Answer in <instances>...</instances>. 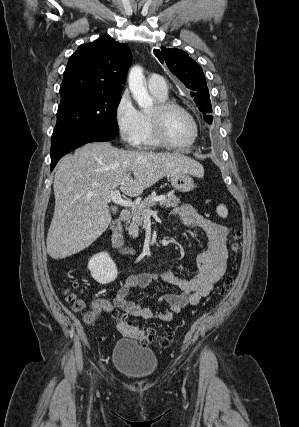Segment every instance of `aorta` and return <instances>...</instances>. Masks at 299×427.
Here are the masks:
<instances>
[{"mask_svg":"<svg viewBox=\"0 0 299 427\" xmlns=\"http://www.w3.org/2000/svg\"><path fill=\"white\" fill-rule=\"evenodd\" d=\"M128 83L132 96L139 107L144 109L152 107V98L148 94L143 68L141 66L136 65L131 68Z\"/></svg>","mask_w":299,"mask_h":427,"instance_id":"aorta-1","label":"aorta"}]
</instances>
